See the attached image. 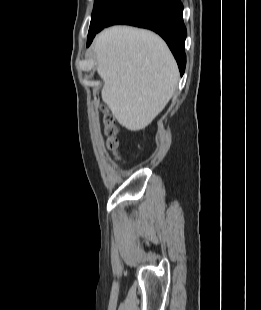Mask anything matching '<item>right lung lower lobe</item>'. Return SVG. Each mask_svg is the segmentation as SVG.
Segmentation results:
<instances>
[{"label": "right lung lower lobe", "instance_id": "1", "mask_svg": "<svg viewBox=\"0 0 261 310\" xmlns=\"http://www.w3.org/2000/svg\"><path fill=\"white\" fill-rule=\"evenodd\" d=\"M180 0H128L114 11L100 26L89 31L87 46L96 33L114 24H129L148 28L158 33L172 51L181 75L186 65L184 43L186 28L182 19Z\"/></svg>", "mask_w": 261, "mask_h": 310}]
</instances>
